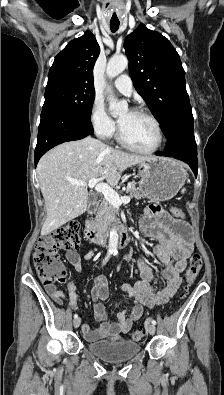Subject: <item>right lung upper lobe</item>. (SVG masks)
<instances>
[{
	"label": "right lung upper lobe",
	"instance_id": "right-lung-upper-lobe-1",
	"mask_svg": "<svg viewBox=\"0 0 224 395\" xmlns=\"http://www.w3.org/2000/svg\"><path fill=\"white\" fill-rule=\"evenodd\" d=\"M99 53L95 36L87 30L83 36L70 41L55 57L48 78L63 77L94 86L93 67Z\"/></svg>",
	"mask_w": 224,
	"mask_h": 395
}]
</instances>
